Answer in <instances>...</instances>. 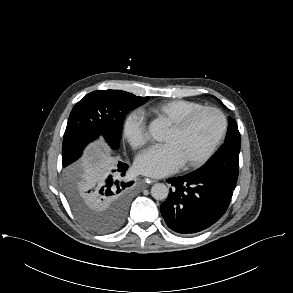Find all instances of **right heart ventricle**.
<instances>
[{
    "instance_id": "e07e8e85",
    "label": "right heart ventricle",
    "mask_w": 293,
    "mask_h": 293,
    "mask_svg": "<svg viewBox=\"0 0 293 293\" xmlns=\"http://www.w3.org/2000/svg\"><path fill=\"white\" fill-rule=\"evenodd\" d=\"M203 106L204 105L200 102L173 99L152 106L149 108L148 112L158 118L165 119L169 124H172L186 114Z\"/></svg>"
}]
</instances>
